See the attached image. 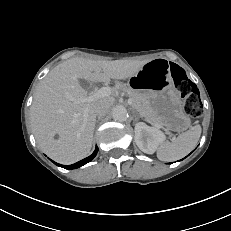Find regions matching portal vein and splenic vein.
I'll list each match as a JSON object with an SVG mask.
<instances>
[{
  "label": "portal vein and splenic vein",
  "instance_id": "portal-vein-and-splenic-vein-1",
  "mask_svg": "<svg viewBox=\"0 0 231 231\" xmlns=\"http://www.w3.org/2000/svg\"><path fill=\"white\" fill-rule=\"evenodd\" d=\"M112 93V90L110 87H102L100 88L99 90H97L96 92H94L93 94L89 95V96H86V97H83V98H80V99H75L73 97H71V100L73 101H76L78 103L82 102V103H90V102H93L97 99H100V98H104V97H107L109 95H111ZM128 103L130 105H132V101L131 100H128ZM155 125L156 127H161L160 125L158 124H153Z\"/></svg>",
  "mask_w": 231,
  "mask_h": 231
}]
</instances>
